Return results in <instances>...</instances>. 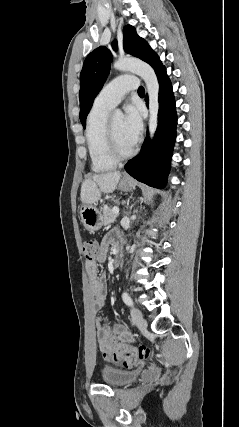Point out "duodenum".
<instances>
[{
	"mask_svg": "<svg viewBox=\"0 0 239 427\" xmlns=\"http://www.w3.org/2000/svg\"><path fill=\"white\" fill-rule=\"evenodd\" d=\"M122 256V246L121 243L116 244L114 249V265L118 266L121 261Z\"/></svg>",
	"mask_w": 239,
	"mask_h": 427,
	"instance_id": "410a0bca",
	"label": "duodenum"
}]
</instances>
